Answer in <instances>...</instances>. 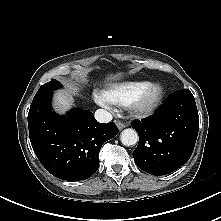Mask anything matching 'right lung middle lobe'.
<instances>
[{"mask_svg":"<svg viewBox=\"0 0 221 221\" xmlns=\"http://www.w3.org/2000/svg\"><path fill=\"white\" fill-rule=\"evenodd\" d=\"M61 87V84L60 82L56 81L55 79H52L50 82L42 85L34 98L36 97H39L41 95H44V94H47V93H51L53 90L57 89V88H60Z\"/></svg>","mask_w":221,"mask_h":221,"instance_id":"dd1d6c3e","label":"right lung middle lobe"}]
</instances>
